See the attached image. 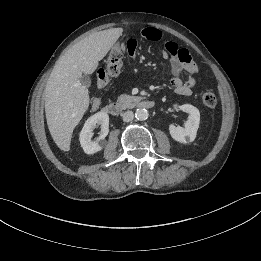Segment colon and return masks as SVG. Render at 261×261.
<instances>
[{
  "mask_svg": "<svg viewBox=\"0 0 261 261\" xmlns=\"http://www.w3.org/2000/svg\"><path fill=\"white\" fill-rule=\"evenodd\" d=\"M123 50L120 47H114L105 62V65L95 72L96 83L98 87H105L112 77L117 76L122 69ZM202 102L205 106L213 108L217 104V96L212 91H206L202 95Z\"/></svg>",
  "mask_w": 261,
  "mask_h": 261,
  "instance_id": "obj_1",
  "label": "colon"
}]
</instances>
